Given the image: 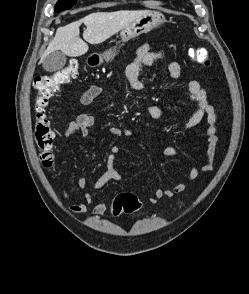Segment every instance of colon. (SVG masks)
Wrapping results in <instances>:
<instances>
[{
    "instance_id": "obj_1",
    "label": "colon",
    "mask_w": 249,
    "mask_h": 294,
    "mask_svg": "<svg viewBox=\"0 0 249 294\" xmlns=\"http://www.w3.org/2000/svg\"><path fill=\"white\" fill-rule=\"evenodd\" d=\"M188 54L194 63L206 67L210 65V57L205 49L189 48ZM78 74L79 63L73 59L66 67L48 75L38 76L34 80L36 89L33 103L34 135L36 145L41 151V162L45 168H49L53 164L54 155L52 150L55 140V132L51 128L50 120L46 114L48 100L58 91L60 86L70 82ZM140 209L141 202L132 193L118 194L111 205V213L114 216L134 214Z\"/></svg>"
}]
</instances>
